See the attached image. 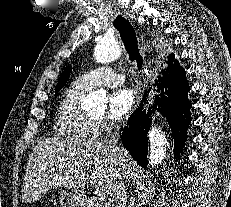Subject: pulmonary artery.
Wrapping results in <instances>:
<instances>
[{"instance_id": "1", "label": "pulmonary artery", "mask_w": 231, "mask_h": 207, "mask_svg": "<svg viewBox=\"0 0 231 207\" xmlns=\"http://www.w3.org/2000/svg\"><path fill=\"white\" fill-rule=\"evenodd\" d=\"M124 80L125 76L123 74L115 72L108 65H101L79 76L74 84L78 88L88 91L98 86L120 85Z\"/></svg>"}]
</instances>
